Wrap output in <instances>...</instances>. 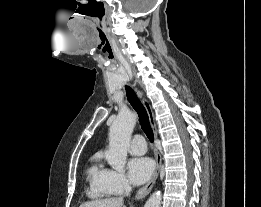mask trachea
<instances>
[{"label":"trachea","mask_w":261,"mask_h":207,"mask_svg":"<svg viewBox=\"0 0 261 207\" xmlns=\"http://www.w3.org/2000/svg\"><path fill=\"white\" fill-rule=\"evenodd\" d=\"M125 89H126V95H127L128 101L130 102V104L132 105V107L134 108V110L137 112V114L139 116L141 128L145 132L148 139L151 142H153L154 134H153L152 128L150 126L149 117H148L145 107L143 106V104L141 103V101L139 100V98L137 97L136 93L134 92V90L132 88H130L129 86H126Z\"/></svg>","instance_id":"obj_1"}]
</instances>
